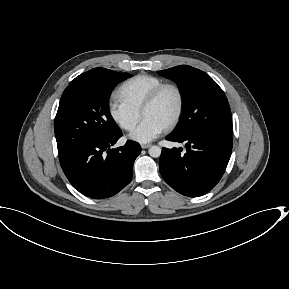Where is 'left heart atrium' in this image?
<instances>
[{
    "label": "left heart atrium",
    "instance_id": "left-heart-atrium-1",
    "mask_svg": "<svg viewBox=\"0 0 289 289\" xmlns=\"http://www.w3.org/2000/svg\"><path fill=\"white\" fill-rule=\"evenodd\" d=\"M166 126L159 121L144 117L138 127L131 132L129 138L139 143H148L156 139Z\"/></svg>",
    "mask_w": 289,
    "mask_h": 289
}]
</instances>
